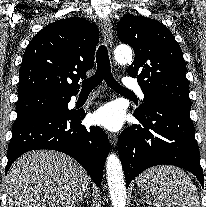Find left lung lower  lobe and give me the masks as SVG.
<instances>
[{
    "label": "left lung lower lobe",
    "mask_w": 206,
    "mask_h": 207,
    "mask_svg": "<svg viewBox=\"0 0 206 207\" xmlns=\"http://www.w3.org/2000/svg\"><path fill=\"white\" fill-rule=\"evenodd\" d=\"M145 111H135L142 126L133 124L118 139L126 186L145 169L175 165L194 175L203 187L199 147L189 113L191 105L162 99L145 103Z\"/></svg>",
    "instance_id": "left-lung-lower-lobe-1"
}]
</instances>
